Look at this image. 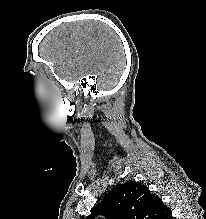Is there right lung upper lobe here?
Masks as SVG:
<instances>
[{"label": "right lung upper lobe", "instance_id": "cb5924a9", "mask_svg": "<svg viewBox=\"0 0 206 219\" xmlns=\"http://www.w3.org/2000/svg\"><path fill=\"white\" fill-rule=\"evenodd\" d=\"M101 214L106 219H173L162 200L140 183L129 180L111 190L86 219Z\"/></svg>", "mask_w": 206, "mask_h": 219}]
</instances>
